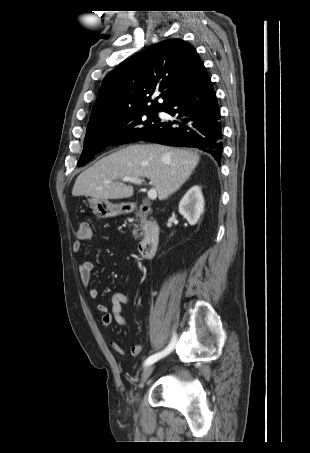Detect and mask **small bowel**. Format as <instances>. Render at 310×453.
Returning a JSON list of instances; mask_svg holds the SVG:
<instances>
[{
    "instance_id": "1",
    "label": "small bowel",
    "mask_w": 310,
    "mask_h": 453,
    "mask_svg": "<svg viewBox=\"0 0 310 453\" xmlns=\"http://www.w3.org/2000/svg\"><path fill=\"white\" fill-rule=\"evenodd\" d=\"M72 249L75 253H79L82 250V243L80 240H76L73 243ZM93 269V263L89 260H84L79 264V276L81 284L87 289L89 298L97 299L99 292L94 286H90L91 272ZM111 308L109 309L106 304L98 303L96 306L97 311L101 314V323L103 327L109 328L113 323L119 326H125L127 324L126 318L122 314L123 305L129 302V298L123 292H114L110 299ZM111 348L117 354H124V349L116 342L110 343ZM142 351L140 344H136L131 348V354L138 356Z\"/></svg>"
}]
</instances>
